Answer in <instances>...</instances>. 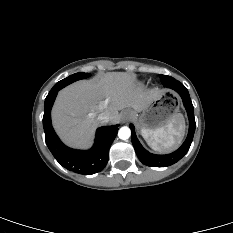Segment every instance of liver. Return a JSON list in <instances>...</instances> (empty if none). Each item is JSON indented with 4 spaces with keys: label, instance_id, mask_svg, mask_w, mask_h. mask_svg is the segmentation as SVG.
Returning a JSON list of instances; mask_svg holds the SVG:
<instances>
[{
    "label": "liver",
    "instance_id": "1",
    "mask_svg": "<svg viewBox=\"0 0 233 233\" xmlns=\"http://www.w3.org/2000/svg\"><path fill=\"white\" fill-rule=\"evenodd\" d=\"M159 94V90L138 85L132 74L109 72L61 90L52 109V123L67 145L86 148L101 124L99 114L108 115L115 124L120 121V110H141Z\"/></svg>",
    "mask_w": 233,
    "mask_h": 233
}]
</instances>
